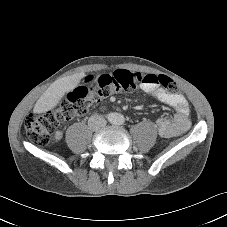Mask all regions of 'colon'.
Instances as JSON below:
<instances>
[{
	"instance_id": "5ec220e1",
	"label": "colon",
	"mask_w": 227,
	"mask_h": 227,
	"mask_svg": "<svg viewBox=\"0 0 227 227\" xmlns=\"http://www.w3.org/2000/svg\"><path fill=\"white\" fill-rule=\"evenodd\" d=\"M144 84H157L170 93L178 92L176 83L167 76L116 70L98 76L91 87H77L57 108L41 114H30L25 120L26 133L35 144L45 146L58 126L85 114L94 103L120 92L137 90Z\"/></svg>"
}]
</instances>
